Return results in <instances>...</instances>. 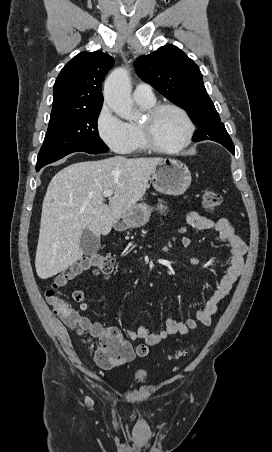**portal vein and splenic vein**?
Segmentation results:
<instances>
[{"label":"portal vein and splenic vein","instance_id":"18ae733b","mask_svg":"<svg viewBox=\"0 0 272 452\" xmlns=\"http://www.w3.org/2000/svg\"><path fill=\"white\" fill-rule=\"evenodd\" d=\"M112 194H113L112 190H106V191L103 192V196L104 197H111Z\"/></svg>","mask_w":272,"mask_h":452}]
</instances>
